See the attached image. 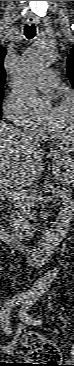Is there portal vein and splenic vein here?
<instances>
[{
	"label": "portal vein and splenic vein",
	"instance_id": "portal-vein-and-splenic-vein-1",
	"mask_svg": "<svg viewBox=\"0 0 74 366\" xmlns=\"http://www.w3.org/2000/svg\"><path fill=\"white\" fill-rule=\"evenodd\" d=\"M2 190L4 191V194L9 199H12V200L26 199V193L25 192L12 190V189H10L8 187H2ZM43 200L52 201V198L51 197H48V196L38 197V198L34 199L33 202H35V201H43Z\"/></svg>",
	"mask_w": 74,
	"mask_h": 366
}]
</instances>
